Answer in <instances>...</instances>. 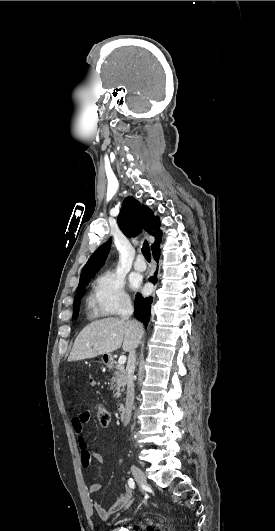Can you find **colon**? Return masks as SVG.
I'll return each instance as SVG.
<instances>
[{"label":"colon","instance_id":"5ec220e1","mask_svg":"<svg viewBox=\"0 0 275 531\" xmlns=\"http://www.w3.org/2000/svg\"><path fill=\"white\" fill-rule=\"evenodd\" d=\"M96 415H97V419H98L99 423L102 426H104V427L109 426V424H110V416H109L108 410L104 406H102V405H98L97 406ZM127 492H129V491H127Z\"/></svg>","mask_w":275,"mask_h":531}]
</instances>
